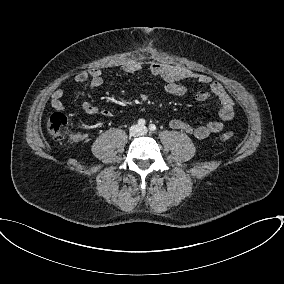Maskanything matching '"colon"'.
Returning a JSON list of instances; mask_svg holds the SVG:
<instances>
[{
    "label": "colon",
    "mask_w": 284,
    "mask_h": 284,
    "mask_svg": "<svg viewBox=\"0 0 284 284\" xmlns=\"http://www.w3.org/2000/svg\"><path fill=\"white\" fill-rule=\"evenodd\" d=\"M70 123L67 117L59 112L51 115L47 123V129L50 135L55 140H69L70 142H77L80 139L79 134L70 133ZM233 137V132L227 131L221 135L224 141L230 140Z\"/></svg>",
    "instance_id": "5ec220e1"
}]
</instances>
